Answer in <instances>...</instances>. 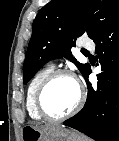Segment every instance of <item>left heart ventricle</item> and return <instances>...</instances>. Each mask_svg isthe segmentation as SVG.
I'll return each instance as SVG.
<instances>
[{"label": "left heart ventricle", "instance_id": "obj_1", "mask_svg": "<svg viewBox=\"0 0 119 141\" xmlns=\"http://www.w3.org/2000/svg\"><path fill=\"white\" fill-rule=\"evenodd\" d=\"M77 98L76 83L68 76H60L46 88L42 104L49 115L59 116L72 109Z\"/></svg>", "mask_w": 119, "mask_h": 141}]
</instances>
